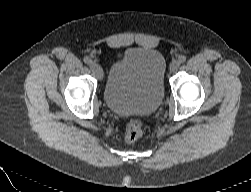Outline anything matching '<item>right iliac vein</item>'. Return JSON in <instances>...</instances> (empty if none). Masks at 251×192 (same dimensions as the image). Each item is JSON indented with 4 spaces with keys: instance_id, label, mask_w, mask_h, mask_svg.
Returning a JSON list of instances; mask_svg holds the SVG:
<instances>
[{
    "instance_id": "obj_1",
    "label": "right iliac vein",
    "mask_w": 251,
    "mask_h": 192,
    "mask_svg": "<svg viewBox=\"0 0 251 192\" xmlns=\"http://www.w3.org/2000/svg\"><path fill=\"white\" fill-rule=\"evenodd\" d=\"M90 68H91L93 74H94L97 78L101 79V78L103 77L102 68L100 67V65H99L97 62L92 61V63L90 64Z\"/></svg>"
}]
</instances>
